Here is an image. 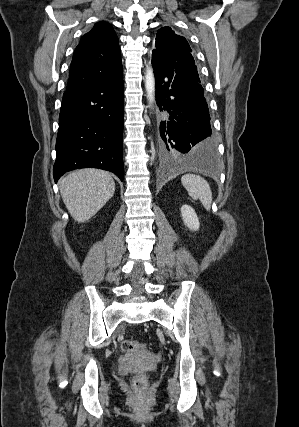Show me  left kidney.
<instances>
[{"mask_svg":"<svg viewBox=\"0 0 299 427\" xmlns=\"http://www.w3.org/2000/svg\"><path fill=\"white\" fill-rule=\"evenodd\" d=\"M181 214L184 224L193 231H197L200 227L199 219L194 209L189 205H183L181 207Z\"/></svg>","mask_w":299,"mask_h":427,"instance_id":"left-kidney-1","label":"left kidney"}]
</instances>
